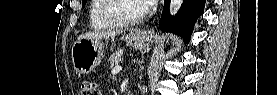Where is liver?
<instances>
[{"label": "liver", "instance_id": "liver-1", "mask_svg": "<svg viewBox=\"0 0 277 95\" xmlns=\"http://www.w3.org/2000/svg\"><path fill=\"white\" fill-rule=\"evenodd\" d=\"M117 34H119V32H89V33L79 36V38L101 40V39H109Z\"/></svg>", "mask_w": 277, "mask_h": 95}]
</instances>
